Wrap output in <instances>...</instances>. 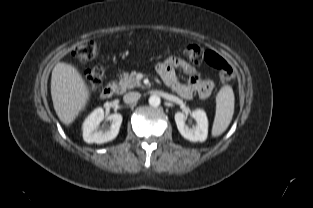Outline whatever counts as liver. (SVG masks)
<instances>
[{"instance_id":"obj_1","label":"liver","mask_w":313,"mask_h":208,"mask_svg":"<svg viewBox=\"0 0 313 208\" xmlns=\"http://www.w3.org/2000/svg\"><path fill=\"white\" fill-rule=\"evenodd\" d=\"M51 97L58 118L68 126L84 109L89 90L74 66L59 62L52 71Z\"/></svg>"}]
</instances>
